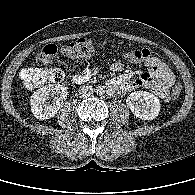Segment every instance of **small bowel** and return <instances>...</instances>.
Wrapping results in <instances>:
<instances>
[{
    "label": "small bowel",
    "mask_w": 195,
    "mask_h": 195,
    "mask_svg": "<svg viewBox=\"0 0 195 195\" xmlns=\"http://www.w3.org/2000/svg\"><path fill=\"white\" fill-rule=\"evenodd\" d=\"M144 66L147 70L140 73L137 79L130 80L134 72L121 74L110 79L108 86L111 95H125L140 87H146L162 101H168L170 98L169 89L175 80L171 69L162 60L154 56L151 58L150 64ZM110 69L114 73H120L124 66L120 62H115ZM97 71L96 67L86 66L82 70L73 73L72 82L82 84L94 76Z\"/></svg>",
    "instance_id": "c3829d8e"
}]
</instances>
